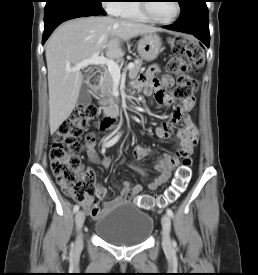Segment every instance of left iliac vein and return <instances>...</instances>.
<instances>
[{"mask_svg":"<svg viewBox=\"0 0 258 275\" xmlns=\"http://www.w3.org/2000/svg\"><path fill=\"white\" fill-rule=\"evenodd\" d=\"M162 227H163V248L166 251L171 249V241H170V229H171V220L170 217L165 214L161 219Z\"/></svg>","mask_w":258,"mask_h":275,"instance_id":"4c4485c4","label":"left iliac vein"}]
</instances>
